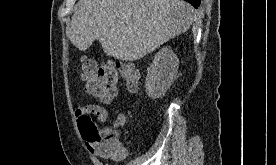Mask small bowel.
Segmentation results:
<instances>
[{"label": "small bowel", "instance_id": "obj_1", "mask_svg": "<svg viewBox=\"0 0 276 165\" xmlns=\"http://www.w3.org/2000/svg\"><path fill=\"white\" fill-rule=\"evenodd\" d=\"M90 115H95L98 122L102 123L107 119V111L100 105L97 104H84L79 106L76 110H75V116L77 118V120L79 121L81 117L83 116H90ZM115 135V137L118 140V136H119V131L114 130L112 131ZM121 152L120 153H114L109 151L105 145L103 144H97V145H92V146H88V148L97 156L101 157V158H121L124 156V148L121 146L119 140H118Z\"/></svg>", "mask_w": 276, "mask_h": 165}]
</instances>
